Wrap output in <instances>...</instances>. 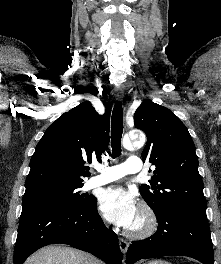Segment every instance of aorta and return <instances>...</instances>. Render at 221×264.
Returning <instances> with one entry per match:
<instances>
[{"label": "aorta", "mask_w": 221, "mask_h": 264, "mask_svg": "<svg viewBox=\"0 0 221 264\" xmlns=\"http://www.w3.org/2000/svg\"><path fill=\"white\" fill-rule=\"evenodd\" d=\"M132 138L134 139L133 145L135 147H141L145 143V136L140 134V135H132ZM123 145L126 149H129L131 147V143L129 138H125L123 140Z\"/></svg>", "instance_id": "aorta-1"}]
</instances>
